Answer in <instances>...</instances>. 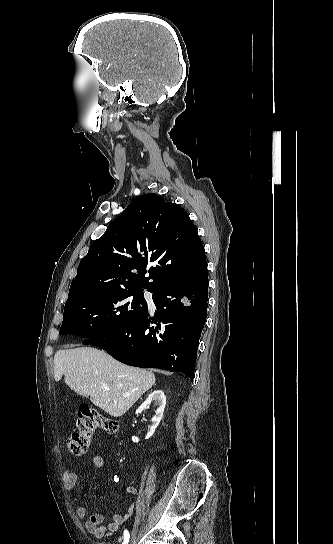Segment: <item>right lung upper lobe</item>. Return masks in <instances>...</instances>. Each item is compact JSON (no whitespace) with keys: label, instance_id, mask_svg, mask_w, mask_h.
<instances>
[{"label":"right lung upper lobe","instance_id":"cb5924a9","mask_svg":"<svg viewBox=\"0 0 333 544\" xmlns=\"http://www.w3.org/2000/svg\"><path fill=\"white\" fill-rule=\"evenodd\" d=\"M206 268L204 247L189 215L156 194L138 196L91 244L67 302L115 290L155 292Z\"/></svg>","mask_w":333,"mask_h":544}]
</instances>
